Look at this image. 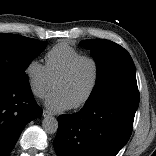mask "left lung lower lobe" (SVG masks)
Segmentation results:
<instances>
[{
	"label": "left lung lower lobe",
	"mask_w": 156,
	"mask_h": 156,
	"mask_svg": "<svg viewBox=\"0 0 156 156\" xmlns=\"http://www.w3.org/2000/svg\"><path fill=\"white\" fill-rule=\"evenodd\" d=\"M139 101L105 98L75 114L58 117L54 148L58 156H116L131 136Z\"/></svg>",
	"instance_id": "left-lung-lower-lobe-1"
}]
</instances>
